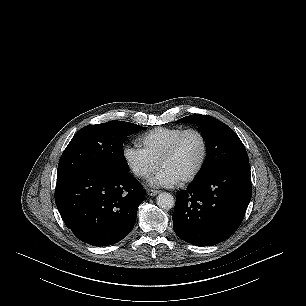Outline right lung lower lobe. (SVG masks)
<instances>
[{"instance_id":"obj_1","label":"right lung lower lobe","mask_w":306,"mask_h":306,"mask_svg":"<svg viewBox=\"0 0 306 306\" xmlns=\"http://www.w3.org/2000/svg\"><path fill=\"white\" fill-rule=\"evenodd\" d=\"M145 194L128 172L85 170L57 180L55 202L64 223L79 240L108 246L133 229Z\"/></svg>"}]
</instances>
